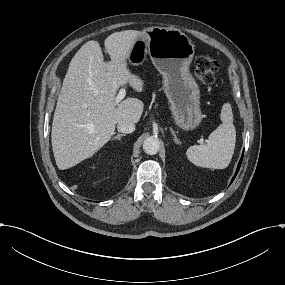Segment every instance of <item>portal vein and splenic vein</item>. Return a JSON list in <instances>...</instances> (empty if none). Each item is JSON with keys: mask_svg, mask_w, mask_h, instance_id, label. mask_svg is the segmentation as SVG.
Returning <instances> with one entry per match:
<instances>
[{"mask_svg": "<svg viewBox=\"0 0 285 285\" xmlns=\"http://www.w3.org/2000/svg\"><path fill=\"white\" fill-rule=\"evenodd\" d=\"M126 95V88L124 86H122L120 89H119V94L117 96V99L118 100H122Z\"/></svg>", "mask_w": 285, "mask_h": 285, "instance_id": "1", "label": "portal vein and splenic vein"}]
</instances>
